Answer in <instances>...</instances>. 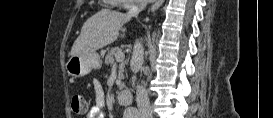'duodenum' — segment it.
Wrapping results in <instances>:
<instances>
[{"label": "duodenum", "instance_id": "obj_1", "mask_svg": "<svg viewBox=\"0 0 273 118\" xmlns=\"http://www.w3.org/2000/svg\"><path fill=\"white\" fill-rule=\"evenodd\" d=\"M117 99L122 105H130L133 101V94L129 90H121L118 93Z\"/></svg>", "mask_w": 273, "mask_h": 118}]
</instances>
